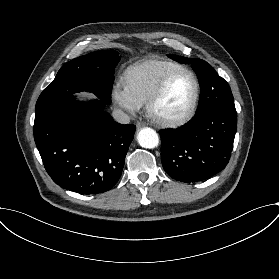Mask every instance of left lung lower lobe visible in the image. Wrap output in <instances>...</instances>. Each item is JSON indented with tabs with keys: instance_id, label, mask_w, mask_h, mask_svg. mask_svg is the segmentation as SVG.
Here are the masks:
<instances>
[{
	"instance_id": "left-lung-lower-lobe-1",
	"label": "left lung lower lobe",
	"mask_w": 279,
	"mask_h": 279,
	"mask_svg": "<svg viewBox=\"0 0 279 279\" xmlns=\"http://www.w3.org/2000/svg\"><path fill=\"white\" fill-rule=\"evenodd\" d=\"M237 129V114L208 110L176 130L160 131L165 172L181 182H197L227 165Z\"/></svg>"
}]
</instances>
